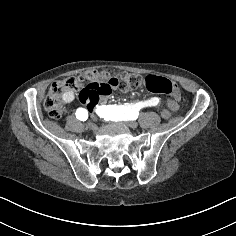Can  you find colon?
Wrapping results in <instances>:
<instances>
[{"label":"colon","instance_id":"1","mask_svg":"<svg viewBox=\"0 0 236 236\" xmlns=\"http://www.w3.org/2000/svg\"><path fill=\"white\" fill-rule=\"evenodd\" d=\"M142 83V77L135 73L112 75L107 71H84L77 77L53 83L44 101V108L52 118L57 119L64 112V106L60 102L61 95L68 90H78L79 100L92 108L101 98L108 96L112 89L136 88ZM145 86L150 92L170 96V101L174 104L179 98L177 86L166 78L150 75L145 79ZM174 109H164L162 117L170 119Z\"/></svg>","mask_w":236,"mask_h":236}]
</instances>
